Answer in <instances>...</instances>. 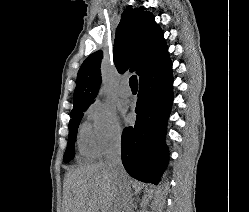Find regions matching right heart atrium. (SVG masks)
<instances>
[{
	"label": "right heart atrium",
	"instance_id": "obj_1",
	"mask_svg": "<svg viewBox=\"0 0 249 212\" xmlns=\"http://www.w3.org/2000/svg\"><path fill=\"white\" fill-rule=\"evenodd\" d=\"M88 124V141L94 156L106 157L120 147L122 129L114 110L101 102H93L84 113Z\"/></svg>",
	"mask_w": 249,
	"mask_h": 212
}]
</instances>
